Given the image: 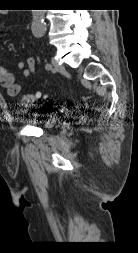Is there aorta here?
I'll return each mask as SVG.
<instances>
[{
	"mask_svg": "<svg viewBox=\"0 0 138 253\" xmlns=\"http://www.w3.org/2000/svg\"><path fill=\"white\" fill-rule=\"evenodd\" d=\"M45 10H32V34L35 37H42L46 31V24L44 21Z\"/></svg>",
	"mask_w": 138,
	"mask_h": 253,
	"instance_id": "1",
	"label": "aorta"
}]
</instances>
